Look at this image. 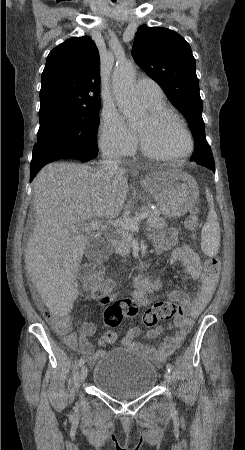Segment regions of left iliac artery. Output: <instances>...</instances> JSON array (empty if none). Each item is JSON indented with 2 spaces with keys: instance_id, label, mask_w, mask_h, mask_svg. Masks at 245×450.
I'll return each mask as SVG.
<instances>
[{
  "instance_id": "1",
  "label": "left iliac artery",
  "mask_w": 245,
  "mask_h": 450,
  "mask_svg": "<svg viewBox=\"0 0 245 450\" xmlns=\"http://www.w3.org/2000/svg\"><path fill=\"white\" fill-rule=\"evenodd\" d=\"M167 370H168L169 373L172 372V365L169 364V363L167 364Z\"/></svg>"
}]
</instances>
